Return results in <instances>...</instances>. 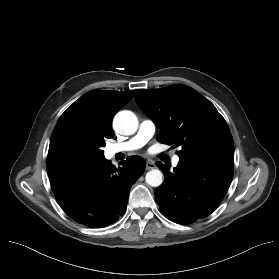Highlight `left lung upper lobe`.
I'll return each mask as SVG.
<instances>
[{"mask_svg": "<svg viewBox=\"0 0 279 279\" xmlns=\"http://www.w3.org/2000/svg\"><path fill=\"white\" fill-rule=\"evenodd\" d=\"M140 108L161 129L159 142L181 146L178 156L234 158L229 127L215 106L193 88L177 84L156 90H135Z\"/></svg>", "mask_w": 279, "mask_h": 279, "instance_id": "obj_1", "label": "left lung upper lobe"}]
</instances>
